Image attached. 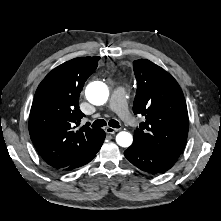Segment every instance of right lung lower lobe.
I'll return each mask as SVG.
<instances>
[{"mask_svg":"<svg viewBox=\"0 0 221 221\" xmlns=\"http://www.w3.org/2000/svg\"><path fill=\"white\" fill-rule=\"evenodd\" d=\"M104 139H105V132L102 130V133L100 135V139H99V142H98V145L96 146L95 150L92 152L91 155L89 156H86L84 157L83 159L69 165L68 167L62 169V170H65V171H69V170H73V169H76L78 167H81L87 163H89L96 155V153L99 151V149L101 148L103 142H104Z\"/></svg>","mask_w":221,"mask_h":221,"instance_id":"98d812e1","label":"right lung lower lobe"}]
</instances>
